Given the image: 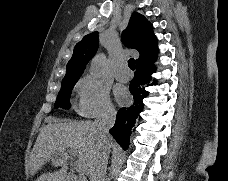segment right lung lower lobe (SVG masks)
<instances>
[{"label":"right lung lower lobe","instance_id":"1","mask_svg":"<svg viewBox=\"0 0 228 181\" xmlns=\"http://www.w3.org/2000/svg\"><path fill=\"white\" fill-rule=\"evenodd\" d=\"M158 49L145 60L136 64L135 77L130 82L129 90L134 98L130 107L121 108L116 116L115 125L109 130L115 140L124 148L129 146L132 127L143 109V98L148 96L145 85L150 86L151 74L155 72L154 61L157 59Z\"/></svg>","mask_w":228,"mask_h":181}]
</instances>
